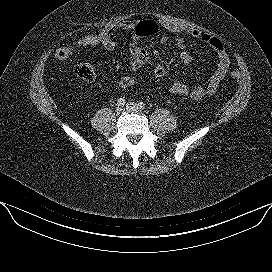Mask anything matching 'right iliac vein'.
<instances>
[{
    "label": "right iliac vein",
    "mask_w": 272,
    "mask_h": 272,
    "mask_svg": "<svg viewBox=\"0 0 272 272\" xmlns=\"http://www.w3.org/2000/svg\"><path fill=\"white\" fill-rule=\"evenodd\" d=\"M124 111L123 106H117L115 112L119 115Z\"/></svg>",
    "instance_id": "1"
}]
</instances>
